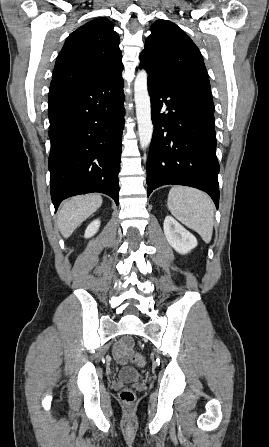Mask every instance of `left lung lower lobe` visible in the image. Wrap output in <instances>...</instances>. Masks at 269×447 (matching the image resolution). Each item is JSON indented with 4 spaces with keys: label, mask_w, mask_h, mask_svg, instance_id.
<instances>
[{
    "label": "left lung lower lobe",
    "mask_w": 269,
    "mask_h": 447,
    "mask_svg": "<svg viewBox=\"0 0 269 447\" xmlns=\"http://www.w3.org/2000/svg\"><path fill=\"white\" fill-rule=\"evenodd\" d=\"M148 91L154 124L146 167L148 196L162 185H186L207 192L218 208L214 110L187 90L149 74Z\"/></svg>",
    "instance_id": "left-lung-lower-lobe-1"
}]
</instances>
